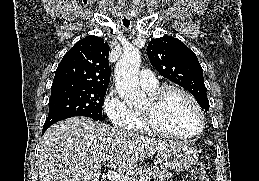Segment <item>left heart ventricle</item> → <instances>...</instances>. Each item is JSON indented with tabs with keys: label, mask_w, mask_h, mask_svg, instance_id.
Listing matches in <instances>:
<instances>
[{
	"label": "left heart ventricle",
	"mask_w": 259,
	"mask_h": 181,
	"mask_svg": "<svg viewBox=\"0 0 259 181\" xmlns=\"http://www.w3.org/2000/svg\"><path fill=\"white\" fill-rule=\"evenodd\" d=\"M149 101L142 110L148 108ZM157 123L164 129L179 134L197 130L199 116L193 104L180 93H170L163 100L156 113Z\"/></svg>",
	"instance_id": "1"
}]
</instances>
